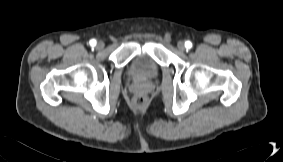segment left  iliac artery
<instances>
[{
	"label": "left iliac artery",
	"mask_w": 283,
	"mask_h": 162,
	"mask_svg": "<svg viewBox=\"0 0 283 162\" xmlns=\"http://www.w3.org/2000/svg\"><path fill=\"white\" fill-rule=\"evenodd\" d=\"M185 47L191 48L192 47V43L190 41H186L185 42Z\"/></svg>",
	"instance_id": "1"
}]
</instances>
